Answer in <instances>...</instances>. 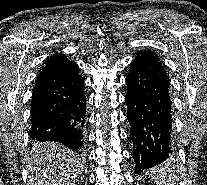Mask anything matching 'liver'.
I'll list each match as a JSON object with an SVG mask.
<instances>
[{"label":"liver","instance_id":"obj_1","mask_svg":"<svg viewBox=\"0 0 207 185\" xmlns=\"http://www.w3.org/2000/svg\"><path fill=\"white\" fill-rule=\"evenodd\" d=\"M27 169L31 185H34L37 175L46 177L47 185H75L83 173V167L71 149L52 141L36 145Z\"/></svg>","mask_w":207,"mask_h":185}]
</instances>
